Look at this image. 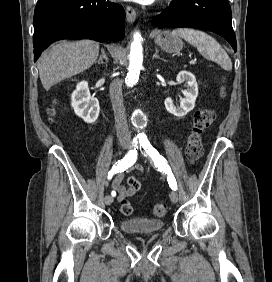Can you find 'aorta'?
I'll return each mask as SVG.
<instances>
[{"label":"aorta","instance_id":"1","mask_svg":"<svg viewBox=\"0 0 272 282\" xmlns=\"http://www.w3.org/2000/svg\"><path fill=\"white\" fill-rule=\"evenodd\" d=\"M143 62V47L141 43V34L136 32L133 36V42L130 46V55H129V67L128 73L125 79V83L128 87H133L137 82L142 68ZM141 121L140 113L134 114V122L139 123ZM145 133L141 129L137 133V138L144 139Z\"/></svg>","mask_w":272,"mask_h":282}]
</instances>
